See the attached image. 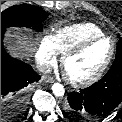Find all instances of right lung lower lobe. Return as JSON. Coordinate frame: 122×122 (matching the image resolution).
Returning <instances> with one entry per match:
<instances>
[{
	"mask_svg": "<svg viewBox=\"0 0 122 122\" xmlns=\"http://www.w3.org/2000/svg\"><path fill=\"white\" fill-rule=\"evenodd\" d=\"M1 29V122H11L26 106L27 86L41 78L32 67L10 57L3 46Z\"/></svg>",
	"mask_w": 122,
	"mask_h": 122,
	"instance_id": "1",
	"label": "right lung lower lobe"
}]
</instances>
